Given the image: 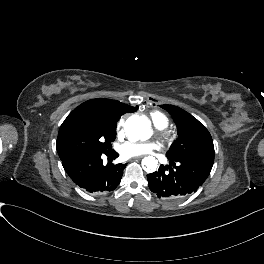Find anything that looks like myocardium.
<instances>
[{
	"mask_svg": "<svg viewBox=\"0 0 264 264\" xmlns=\"http://www.w3.org/2000/svg\"><path fill=\"white\" fill-rule=\"evenodd\" d=\"M162 139H163V141H166V139H168V136H167L166 134H164V135L162 136Z\"/></svg>",
	"mask_w": 264,
	"mask_h": 264,
	"instance_id": "1",
	"label": "myocardium"
}]
</instances>
